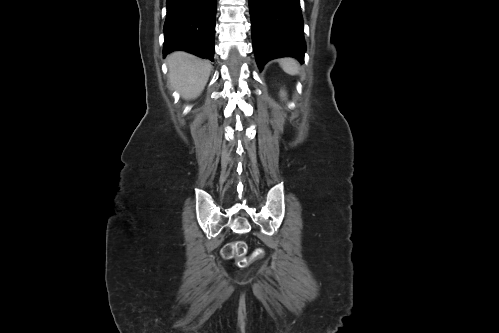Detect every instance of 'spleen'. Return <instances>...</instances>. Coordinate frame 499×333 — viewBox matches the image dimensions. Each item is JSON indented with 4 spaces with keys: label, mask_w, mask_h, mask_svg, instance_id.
<instances>
[{
    "label": "spleen",
    "mask_w": 499,
    "mask_h": 333,
    "mask_svg": "<svg viewBox=\"0 0 499 333\" xmlns=\"http://www.w3.org/2000/svg\"><path fill=\"white\" fill-rule=\"evenodd\" d=\"M280 66L282 67V69L290 74V75H296L299 73V64L298 62L293 59V58H284V59H281L280 61Z\"/></svg>",
    "instance_id": "3e777b00"
}]
</instances>
